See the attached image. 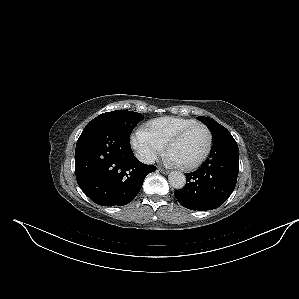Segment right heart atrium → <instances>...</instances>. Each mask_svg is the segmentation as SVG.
Here are the masks:
<instances>
[{
	"mask_svg": "<svg viewBox=\"0 0 299 299\" xmlns=\"http://www.w3.org/2000/svg\"><path fill=\"white\" fill-rule=\"evenodd\" d=\"M130 145L144 163H152L163 151V145L145 128H139L131 134Z\"/></svg>",
	"mask_w": 299,
	"mask_h": 299,
	"instance_id": "obj_1",
	"label": "right heart atrium"
}]
</instances>
